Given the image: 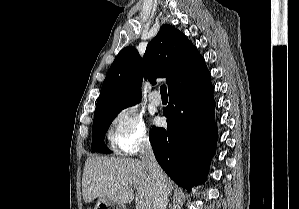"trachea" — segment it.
<instances>
[{
    "mask_svg": "<svg viewBox=\"0 0 299 209\" xmlns=\"http://www.w3.org/2000/svg\"><path fill=\"white\" fill-rule=\"evenodd\" d=\"M160 94H161V96H167V87H166V85H162L160 87Z\"/></svg>",
    "mask_w": 299,
    "mask_h": 209,
    "instance_id": "obj_1",
    "label": "trachea"
}]
</instances>
